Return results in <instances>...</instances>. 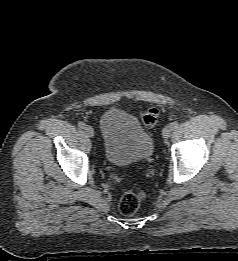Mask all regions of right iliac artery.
<instances>
[{"instance_id": "1", "label": "right iliac artery", "mask_w": 238, "mask_h": 261, "mask_svg": "<svg viewBox=\"0 0 238 261\" xmlns=\"http://www.w3.org/2000/svg\"><path fill=\"white\" fill-rule=\"evenodd\" d=\"M85 126H86V125H85L84 122H79V123H78V127L81 128V129L85 128Z\"/></svg>"}]
</instances>
